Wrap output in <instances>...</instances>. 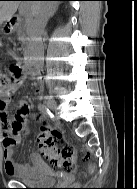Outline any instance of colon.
<instances>
[{
    "mask_svg": "<svg viewBox=\"0 0 137 189\" xmlns=\"http://www.w3.org/2000/svg\"><path fill=\"white\" fill-rule=\"evenodd\" d=\"M22 76V69L12 67L9 72L0 70V97L11 94ZM23 114L28 112L23 109ZM13 133H21L23 130V121L14 120L11 125ZM38 146L42 155L50 164L65 173H71L74 169L75 150L72 146L63 143V131L54 126L44 127L37 137Z\"/></svg>",
    "mask_w": 137,
    "mask_h": 189,
    "instance_id": "1",
    "label": "colon"
}]
</instances>
